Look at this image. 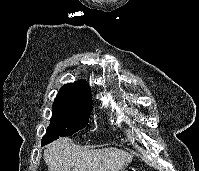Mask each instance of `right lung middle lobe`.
Instances as JSON below:
<instances>
[{
	"label": "right lung middle lobe",
	"mask_w": 199,
	"mask_h": 171,
	"mask_svg": "<svg viewBox=\"0 0 199 171\" xmlns=\"http://www.w3.org/2000/svg\"><path fill=\"white\" fill-rule=\"evenodd\" d=\"M91 109L92 102L70 103L55 99L51 122L42 138V145L83 129L88 124Z\"/></svg>",
	"instance_id": "dd1d6c3e"
}]
</instances>
